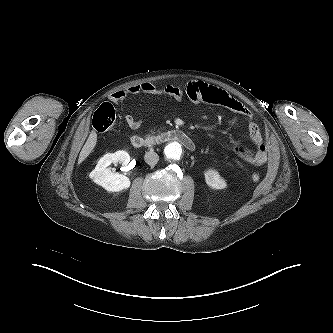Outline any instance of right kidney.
Instances as JSON below:
<instances>
[{
	"label": "right kidney",
	"mask_w": 333,
	"mask_h": 333,
	"mask_svg": "<svg viewBox=\"0 0 333 333\" xmlns=\"http://www.w3.org/2000/svg\"><path fill=\"white\" fill-rule=\"evenodd\" d=\"M117 162L127 165L130 162L129 154L125 151H117L104 155L89 177L107 191L118 192L129 188L131 184L129 178L122 174L113 173L108 167L110 164Z\"/></svg>",
	"instance_id": "right-kidney-1"
}]
</instances>
